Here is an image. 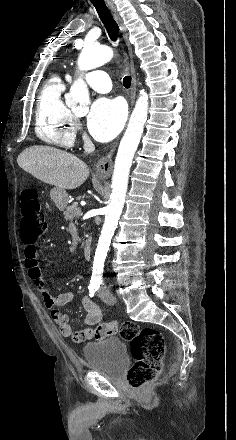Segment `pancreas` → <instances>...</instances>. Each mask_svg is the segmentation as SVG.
<instances>
[{
    "label": "pancreas",
    "mask_w": 236,
    "mask_h": 440,
    "mask_svg": "<svg viewBox=\"0 0 236 440\" xmlns=\"http://www.w3.org/2000/svg\"><path fill=\"white\" fill-rule=\"evenodd\" d=\"M78 209H80V208L78 207L77 204H73V205H71V206H68V207L66 208V210L64 211V213H63L64 218L66 219V221H68V220H72V219H74L75 217L79 216V214L76 213V211H77Z\"/></svg>",
    "instance_id": "pancreas-1"
}]
</instances>
